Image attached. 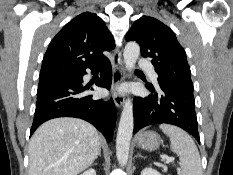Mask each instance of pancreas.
<instances>
[{"instance_id": "1", "label": "pancreas", "mask_w": 233, "mask_h": 175, "mask_svg": "<svg viewBox=\"0 0 233 175\" xmlns=\"http://www.w3.org/2000/svg\"><path fill=\"white\" fill-rule=\"evenodd\" d=\"M163 171H164V172H166V171H167V169L165 168Z\"/></svg>"}]
</instances>
